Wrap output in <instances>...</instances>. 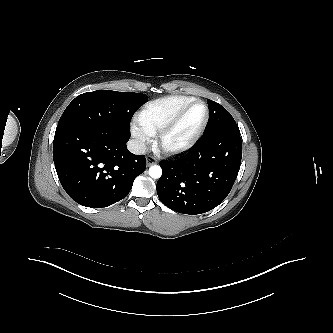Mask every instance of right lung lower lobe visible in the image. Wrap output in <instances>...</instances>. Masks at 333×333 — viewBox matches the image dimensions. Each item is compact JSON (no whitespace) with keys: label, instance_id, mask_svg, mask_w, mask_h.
Listing matches in <instances>:
<instances>
[{"label":"right lung lower lobe","instance_id":"1","mask_svg":"<svg viewBox=\"0 0 333 333\" xmlns=\"http://www.w3.org/2000/svg\"><path fill=\"white\" fill-rule=\"evenodd\" d=\"M128 140L57 128L53 159L66 193L91 208L107 207L126 197L146 168L144 156L128 151Z\"/></svg>","mask_w":333,"mask_h":333}]
</instances>
